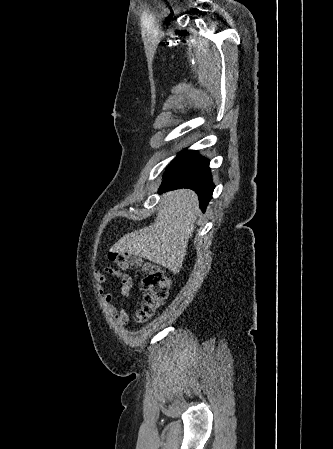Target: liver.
<instances>
[{
    "label": "liver",
    "mask_w": 333,
    "mask_h": 449,
    "mask_svg": "<svg viewBox=\"0 0 333 449\" xmlns=\"http://www.w3.org/2000/svg\"><path fill=\"white\" fill-rule=\"evenodd\" d=\"M199 214L194 191L164 192L155 223L124 235L110 251L134 254L179 272Z\"/></svg>",
    "instance_id": "1"
}]
</instances>
